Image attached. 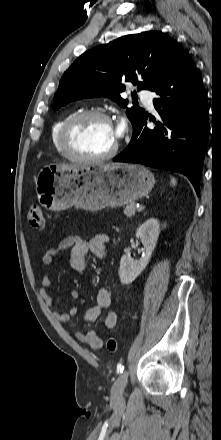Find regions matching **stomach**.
Returning a JSON list of instances; mask_svg holds the SVG:
<instances>
[{"mask_svg": "<svg viewBox=\"0 0 221 440\" xmlns=\"http://www.w3.org/2000/svg\"><path fill=\"white\" fill-rule=\"evenodd\" d=\"M39 203L48 210L72 206L88 211L119 207L146 196L154 175L144 166L128 163L66 167L45 166L36 178Z\"/></svg>", "mask_w": 221, "mask_h": 440, "instance_id": "stomach-1", "label": "stomach"}]
</instances>
